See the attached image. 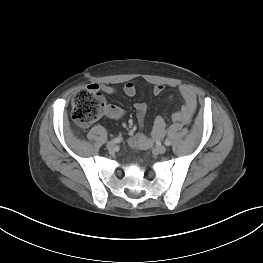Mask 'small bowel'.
Here are the masks:
<instances>
[{"label":"small bowel","instance_id":"1","mask_svg":"<svg viewBox=\"0 0 263 263\" xmlns=\"http://www.w3.org/2000/svg\"><path fill=\"white\" fill-rule=\"evenodd\" d=\"M98 90H102L104 93L111 95L115 92L114 87L110 85L99 86L97 84L91 85ZM124 93L133 97L136 94V85L134 82H128L123 88ZM164 91L163 85H155L153 88L154 95L158 96ZM179 94L183 100V106L181 109L173 114V120L180 123H188L192 119L194 112L197 107V98L196 94L189 87L182 85L179 87ZM136 115L140 125L143 124L144 116L147 110V105L143 102L135 103L134 105ZM106 115L110 119H120L123 116V110L116 105H108L106 108ZM165 121L162 117L158 116L154 121V126L152 130V137L157 138L163 135L165 131ZM129 145L134 148H145L148 145V138L142 133L132 134L129 138Z\"/></svg>","mask_w":263,"mask_h":263}]
</instances>
